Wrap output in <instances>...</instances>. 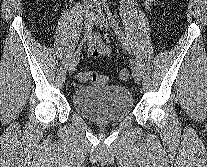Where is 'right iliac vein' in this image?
Listing matches in <instances>:
<instances>
[{
    "label": "right iliac vein",
    "instance_id": "obj_1",
    "mask_svg": "<svg viewBox=\"0 0 207 167\" xmlns=\"http://www.w3.org/2000/svg\"><path fill=\"white\" fill-rule=\"evenodd\" d=\"M93 23V11L92 9H87L85 14V29L87 30ZM79 61V52L75 53L70 65H69V74L72 75L76 69V66Z\"/></svg>",
    "mask_w": 207,
    "mask_h": 167
}]
</instances>
